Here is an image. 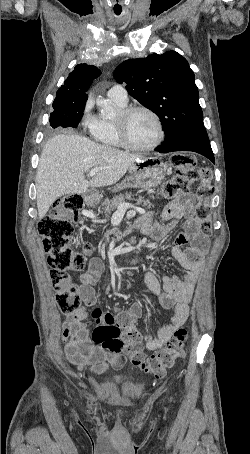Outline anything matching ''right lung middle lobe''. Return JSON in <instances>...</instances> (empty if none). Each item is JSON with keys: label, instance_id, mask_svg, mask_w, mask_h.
Instances as JSON below:
<instances>
[{"label": "right lung middle lobe", "instance_id": "1", "mask_svg": "<svg viewBox=\"0 0 250 454\" xmlns=\"http://www.w3.org/2000/svg\"><path fill=\"white\" fill-rule=\"evenodd\" d=\"M85 104L86 101L71 103L54 100V111L50 115V125L52 126V128L59 126L63 128H76L79 125V122L83 115Z\"/></svg>", "mask_w": 250, "mask_h": 454}]
</instances>
